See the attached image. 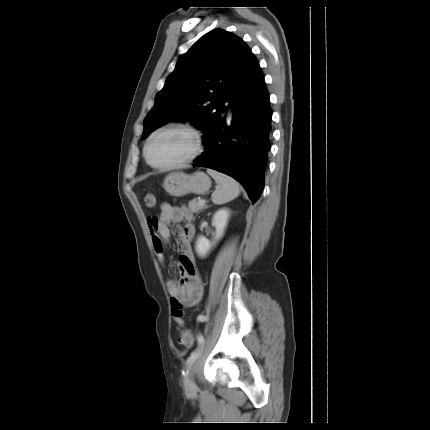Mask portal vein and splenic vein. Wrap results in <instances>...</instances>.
Masks as SVG:
<instances>
[{"label": "portal vein and splenic vein", "mask_w": 430, "mask_h": 430, "mask_svg": "<svg viewBox=\"0 0 430 430\" xmlns=\"http://www.w3.org/2000/svg\"><path fill=\"white\" fill-rule=\"evenodd\" d=\"M199 205H204L205 204V201L204 200H199Z\"/></svg>", "instance_id": "1"}]
</instances>
